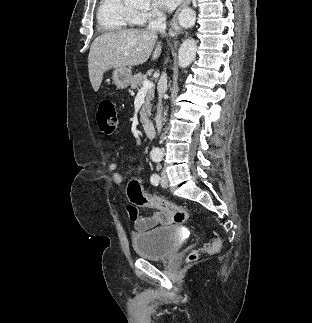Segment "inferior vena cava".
I'll list each match as a JSON object with an SVG mask.
<instances>
[{
    "instance_id": "inferior-vena-cava-1",
    "label": "inferior vena cava",
    "mask_w": 312,
    "mask_h": 323,
    "mask_svg": "<svg viewBox=\"0 0 312 323\" xmlns=\"http://www.w3.org/2000/svg\"><path fill=\"white\" fill-rule=\"evenodd\" d=\"M155 20H151L149 22V30H155V32H160V34H165L166 30V16L163 12H155ZM167 90V74L163 72L159 82H158V96H159V106H161L163 94H165ZM156 128L158 134H160L163 126L161 110L158 108L156 118Z\"/></svg>"
}]
</instances>
